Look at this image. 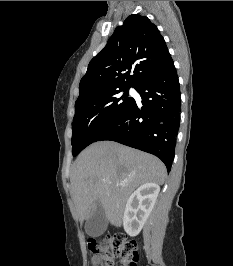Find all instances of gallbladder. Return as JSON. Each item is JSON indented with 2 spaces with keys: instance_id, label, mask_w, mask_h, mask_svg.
<instances>
[{
  "instance_id": "bac80fb5",
  "label": "gallbladder",
  "mask_w": 233,
  "mask_h": 266,
  "mask_svg": "<svg viewBox=\"0 0 233 266\" xmlns=\"http://www.w3.org/2000/svg\"><path fill=\"white\" fill-rule=\"evenodd\" d=\"M107 229V218L101 205H97L85 224L86 233L91 237L102 235Z\"/></svg>"
}]
</instances>
